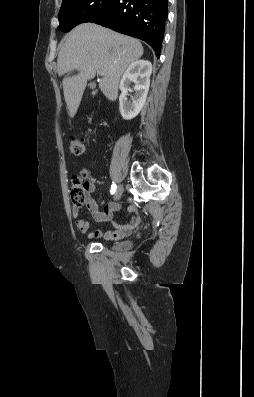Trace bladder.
Segmentation results:
<instances>
[{"label":"bladder","instance_id":"1","mask_svg":"<svg viewBox=\"0 0 254 397\" xmlns=\"http://www.w3.org/2000/svg\"><path fill=\"white\" fill-rule=\"evenodd\" d=\"M124 245H125L124 242H117V243H115L113 246H114L115 248H122V247H124Z\"/></svg>","mask_w":254,"mask_h":397}]
</instances>
